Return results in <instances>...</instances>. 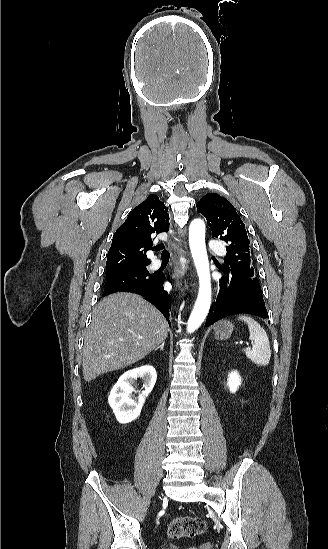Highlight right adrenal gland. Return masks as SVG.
<instances>
[{"label": "right adrenal gland", "instance_id": "1", "mask_svg": "<svg viewBox=\"0 0 328 549\" xmlns=\"http://www.w3.org/2000/svg\"><path fill=\"white\" fill-rule=\"evenodd\" d=\"M164 345L165 343H162V345H160V347H157V349H161V351H164ZM157 349H155V351H157Z\"/></svg>", "mask_w": 328, "mask_h": 549}]
</instances>
